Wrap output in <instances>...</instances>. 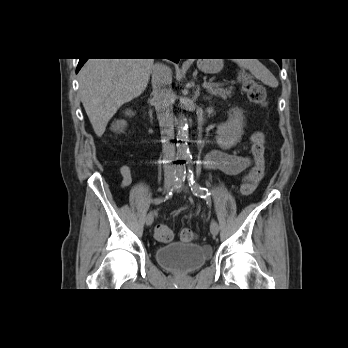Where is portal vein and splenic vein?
<instances>
[{
  "label": "portal vein and splenic vein",
  "mask_w": 348,
  "mask_h": 348,
  "mask_svg": "<svg viewBox=\"0 0 348 348\" xmlns=\"http://www.w3.org/2000/svg\"><path fill=\"white\" fill-rule=\"evenodd\" d=\"M220 84H215V83H209V82H204L203 83V87H217V86H219Z\"/></svg>",
  "instance_id": "portal-vein-and-splenic-vein-1"
}]
</instances>
